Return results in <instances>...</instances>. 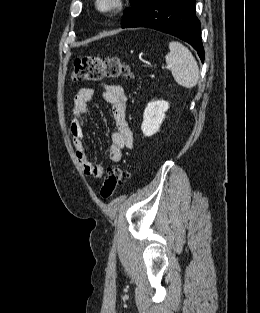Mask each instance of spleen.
Listing matches in <instances>:
<instances>
[{"label":"spleen","mask_w":260,"mask_h":313,"mask_svg":"<svg viewBox=\"0 0 260 313\" xmlns=\"http://www.w3.org/2000/svg\"><path fill=\"white\" fill-rule=\"evenodd\" d=\"M169 49L165 60L175 81L185 88L195 87L199 80V68L190 50L177 41H171Z\"/></svg>","instance_id":"1"}]
</instances>
